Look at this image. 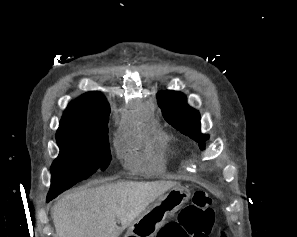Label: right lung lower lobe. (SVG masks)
<instances>
[{
    "label": "right lung lower lobe",
    "mask_w": 297,
    "mask_h": 237,
    "mask_svg": "<svg viewBox=\"0 0 297 237\" xmlns=\"http://www.w3.org/2000/svg\"><path fill=\"white\" fill-rule=\"evenodd\" d=\"M50 200H52V199L47 197V200L46 201L49 202Z\"/></svg>",
    "instance_id": "right-lung-lower-lobe-1"
}]
</instances>
